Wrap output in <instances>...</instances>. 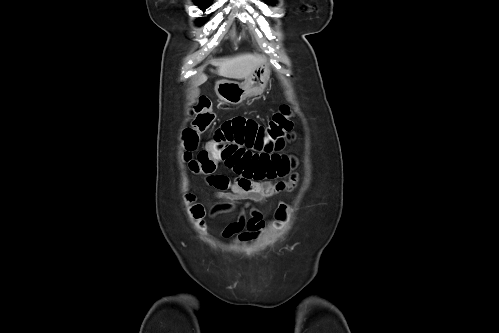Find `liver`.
<instances>
[{
  "label": "liver",
  "instance_id": "1",
  "mask_svg": "<svg viewBox=\"0 0 499 333\" xmlns=\"http://www.w3.org/2000/svg\"><path fill=\"white\" fill-rule=\"evenodd\" d=\"M211 64L217 67V74L230 79H246L258 66L266 64V59L258 54H241L229 58L214 59ZM207 81L201 74L197 85Z\"/></svg>",
  "mask_w": 499,
  "mask_h": 333
}]
</instances>
